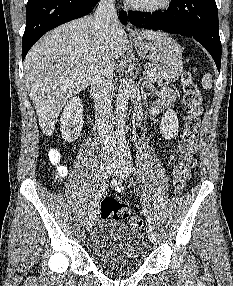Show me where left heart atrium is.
<instances>
[{"mask_svg":"<svg viewBox=\"0 0 233 286\" xmlns=\"http://www.w3.org/2000/svg\"><path fill=\"white\" fill-rule=\"evenodd\" d=\"M128 1L135 2L136 0H128Z\"/></svg>","mask_w":233,"mask_h":286,"instance_id":"39dd6f15","label":"left heart atrium"}]
</instances>
